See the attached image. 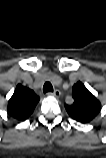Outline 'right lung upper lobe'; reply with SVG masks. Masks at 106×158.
<instances>
[{
    "instance_id": "1",
    "label": "right lung upper lobe",
    "mask_w": 106,
    "mask_h": 158,
    "mask_svg": "<svg viewBox=\"0 0 106 158\" xmlns=\"http://www.w3.org/2000/svg\"><path fill=\"white\" fill-rule=\"evenodd\" d=\"M39 100L33 90L18 84L8 101V115L17 121L26 120L33 113Z\"/></svg>"
}]
</instances>
